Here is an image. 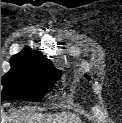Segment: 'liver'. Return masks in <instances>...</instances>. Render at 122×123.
I'll use <instances>...</instances> for the list:
<instances>
[{"label": "liver", "mask_w": 122, "mask_h": 123, "mask_svg": "<svg viewBox=\"0 0 122 123\" xmlns=\"http://www.w3.org/2000/svg\"><path fill=\"white\" fill-rule=\"evenodd\" d=\"M13 123H81L74 114L44 115L26 111H19L14 116Z\"/></svg>", "instance_id": "1"}]
</instances>
